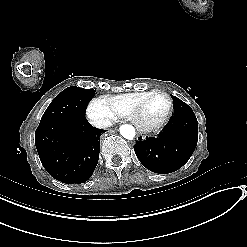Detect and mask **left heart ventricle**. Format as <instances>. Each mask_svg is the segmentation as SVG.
<instances>
[{
  "mask_svg": "<svg viewBox=\"0 0 247 247\" xmlns=\"http://www.w3.org/2000/svg\"><path fill=\"white\" fill-rule=\"evenodd\" d=\"M167 100L161 95H154L146 100L145 113L149 120L159 119L165 111Z\"/></svg>",
  "mask_w": 247,
  "mask_h": 247,
  "instance_id": "b2bd125f",
  "label": "left heart ventricle"
}]
</instances>
